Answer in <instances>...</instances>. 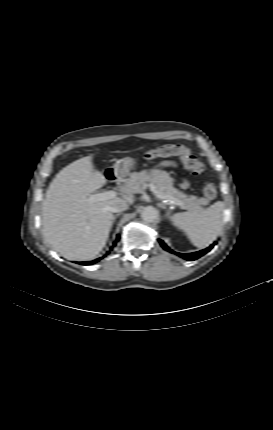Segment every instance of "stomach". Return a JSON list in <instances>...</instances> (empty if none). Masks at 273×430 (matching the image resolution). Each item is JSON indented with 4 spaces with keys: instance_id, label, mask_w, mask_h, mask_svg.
<instances>
[{
    "instance_id": "0dacf381",
    "label": "stomach",
    "mask_w": 273,
    "mask_h": 430,
    "mask_svg": "<svg viewBox=\"0 0 273 430\" xmlns=\"http://www.w3.org/2000/svg\"><path fill=\"white\" fill-rule=\"evenodd\" d=\"M133 163L134 161L132 158H125L121 162H116L113 167L114 172L122 177H125L129 173V170L132 167Z\"/></svg>"
}]
</instances>
